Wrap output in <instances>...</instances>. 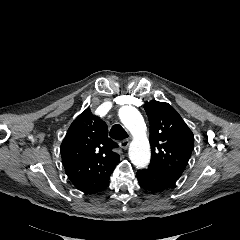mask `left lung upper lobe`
I'll return each mask as SVG.
<instances>
[{"mask_svg": "<svg viewBox=\"0 0 240 240\" xmlns=\"http://www.w3.org/2000/svg\"><path fill=\"white\" fill-rule=\"evenodd\" d=\"M144 109L150 122L152 158L149 166L177 181L194 148L193 133L168 103L145 102Z\"/></svg>", "mask_w": 240, "mask_h": 240, "instance_id": "left-lung-upper-lobe-1", "label": "left lung upper lobe"}]
</instances>
